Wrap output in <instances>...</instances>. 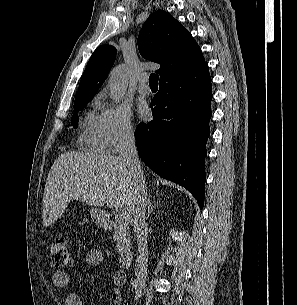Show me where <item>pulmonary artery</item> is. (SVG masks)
<instances>
[{
    "mask_svg": "<svg viewBox=\"0 0 297 305\" xmlns=\"http://www.w3.org/2000/svg\"><path fill=\"white\" fill-rule=\"evenodd\" d=\"M148 74L142 73L139 76L138 91L143 96H148L151 93L150 87L147 85Z\"/></svg>",
    "mask_w": 297,
    "mask_h": 305,
    "instance_id": "1",
    "label": "pulmonary artery"
}]
</instances>
